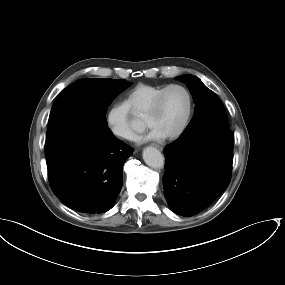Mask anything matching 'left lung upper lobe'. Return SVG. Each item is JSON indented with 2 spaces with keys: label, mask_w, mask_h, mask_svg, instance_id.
<instances>
[{
  "label": "left lung upper lobe",
  "mask_w": 285,
  "mask_h": 285,
  "mask_svg": "<svg viewBox=\"0 0 285 285\" xmlns=\"http://www.w3.org/2000/svg\"><path fill=\"white\" fill-rule=\"evenodd\" d=\"M177 79L185 82L196 103L194 116L181 136L202 128H222L230 130L225 108L218 96L208 89L199 78L181 75Z\"/></svg>",
  "instance_id": "left-lung-upper-lobe-1"
}]
</instances>
